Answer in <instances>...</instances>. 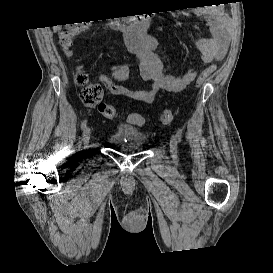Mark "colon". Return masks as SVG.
I'll return each instance as SVG.
<instances>
[{
    "label": "colon",
    "mask_w": 273,
    "mask_h": 273,
    "mask_svg": "<svg viewBox=\"0 0 273 273\" xmlns=\"http://www.w3.org/2000/svg\"><path fill=\"white\" fill-rule=\"evenodd\" d=\"M87 21L74 22L62 31L59 35V43L67 55L71 54V46L74 38L85 28ZM214 66L205 69L198 77L197 84L200 85L205 82L213 72ZM75 83L81 88L80 98L82 102L90 107H97L100 113L108 119H114L118 116L117 110L113 105L102 103L101 98L103 95L100 85L92 83L87 74L77 72L75 75ZM128 120L136 125H143L145 118L141 114H130ZM173 119L170 110H164L160 114V121L163 124H169Z\"/></svg>",
    "instance_id": "obj_1"
}]
</instances>
